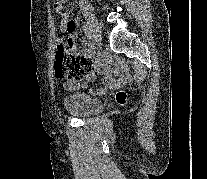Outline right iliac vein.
I'll return each instance as SVG.
<instances>
[{"label": "right iliac vein", "mask_w": 207, "mask_h": 179, "mask_svg": "<svg viewBox=\"0 0 207 179\" xmlns=\"http://www.w3.org/2000/svg\"><path fill=\"white\" fill-rule=\"evenodd\" d=\"M83 16L88 24V26L93 31V34L96 36L97 40L101 42V29L98 23L97 18L91 12H84Z\"/></svg>", "instance_id": "right-iliac-vein-1"}]
</instances>
